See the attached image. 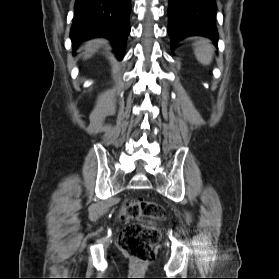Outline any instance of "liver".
I'll return each mask as SVG.
<instances>
[{
  "instance_id": "liver-1",
  "label": "liver",
  "mask_w": 279,
  "mask_h": 279,
  "mask_svg": "<svg viewBox=\"0 0 279 279\" xmlns=\"http://www.w3.org/2000/svg\"><path fill=\"white\" fill-rule=\"evenodd\" d=\"M102 40H92L85 44V52H84V59H87L92 56V54L96 51V49L102 44Z\"/></svg>"
}]
</instances>
